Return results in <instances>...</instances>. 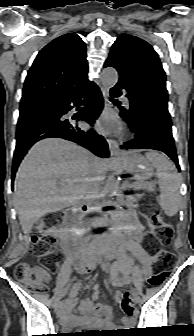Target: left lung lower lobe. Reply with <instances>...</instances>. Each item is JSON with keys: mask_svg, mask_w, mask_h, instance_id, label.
<instances>
[{"mask_svg": "<svg viewBox=\"0 0 194 336\" xmlns=\"http://www.w3.org/2000/svg\"><path fill=\"white\" fill-rule=\"evenodd\" d=\"M111 66L105 63L104 67ZM126 91L130 100L128 109L119 107L120 116L135 133V138L121 146L122 149H152L167 154L180 169L174 139L172 136L171 117L168 108L154 107L143 104L133 89L124 81L119 82L110 90L112 97H119ZM116 104V103H115Z\"/></svg>", "mask_w": 194, "mask_h": 336, "instance_id": "1", "label": "left lung lower lobe"}]
</instances>
